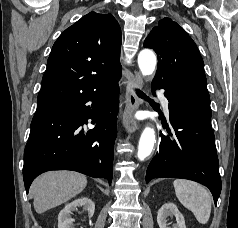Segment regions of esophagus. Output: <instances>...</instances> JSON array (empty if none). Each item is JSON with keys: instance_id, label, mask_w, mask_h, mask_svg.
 <instances>
[{"instance_id": "34e87169", "label": "esophagus", "mask_w": 238, "mask_h": 228, "mask_svg": "<svg viewBox=\"0 0 238 228\" xmlns=\"http://www.w3.org/2000/svg\"><path fill=\"white\" fill-rule=\"evenodd\" d=\"M142 83L141 75L138 72H135L133 78L129 80V85L126 89L125 110L122 123L128 132H134L138 128V122L134 118V113L139 109L140 99L135 90L140 89Z\"/></svg>"}]
</instances>
